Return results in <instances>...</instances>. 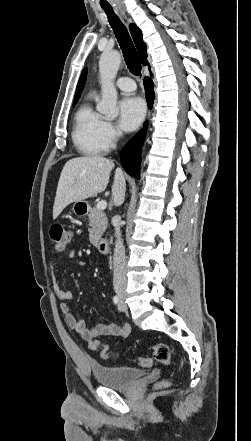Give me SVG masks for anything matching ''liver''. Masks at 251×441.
I'll list each match as a JSON object with an SVG mask.
<instances>
[{
  "label": "liver",
  "instance_id": "liver-1",
  "mask_svg": "<svg viewBox=\"0 0 251 441\" xmlns=\"http://www.w3.org/2000/svg\"><path fill=\"white\" fill-rule=\"evenodd\" d=\"M113 168V161L97 155L76 157L67 161L58 181L53 219H56L70 203L83 201L103 192ZM125 189L123 171L117 168L112 185V195L116 204L123 202Z\"/></svg>",
  "mask_w": 251,
  "mask_h": 441
}]
</instances>
